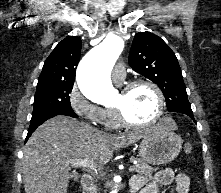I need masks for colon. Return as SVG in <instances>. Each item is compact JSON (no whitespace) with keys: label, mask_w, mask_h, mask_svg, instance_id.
<instances>
[{"label":"colon","mask_w":221,"mask_h":193,"mask_svg":"<svg viewBox=\"0 0 221 193\" xmlns=\"http://www.w3.org/2000/svg\"><path fill=\"white\" fill-rule=\"evenodd\" d=\"M184 150H185L187 153H191V152L193 151V145L190 144V143L185 144Z\"/></svg>","instance_id":"1"}]
</instances>
